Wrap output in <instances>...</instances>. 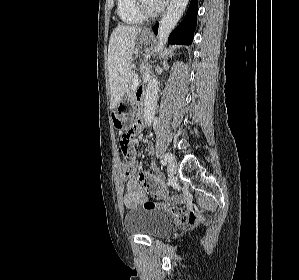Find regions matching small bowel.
<instances>
[{"label": "small bowel", "instance_id": "1", "mask_svg": "<svg viewBox=\"0 0 299 280\" xmlns=\"http://www.w3.org/2000/svg\"><path fill=\"white\" fill-rule=\"evenodd\" d=\"M141 93V92H140ZM139 93V94H140ZM143 124V118L139 113L135 122L130 126L134 131V135L138 133ZM149 151H154L153 147H149ZM132 155L134 150L132 148ZM153 173L142 171L137 176H132L126 179V192L123 196L124 205L133 209L140 205H144L148 201V196H152L156 200H163L168 197L167 187L159 173L155 164H152ZM175 201L176 198H172Z\"/></svg>", "mask_w": 299, "mask_h": 280}]
</instances>
